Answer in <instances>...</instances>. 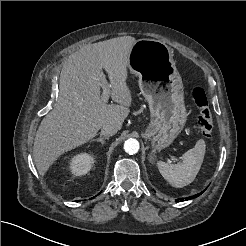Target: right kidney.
Listing matches in <instances>:
<instances>
[{"label":"right kidney","mask_w":246,"mask_h":246,"mask_svg":"<svg viewBox=\"0 0 246 246\" xmlns=\"http://www.w3.org/2000/svg\"><path fill=\"white\" fill-rule=\"evenodd\" d=\"M95 160L89 153H79L73 156L69 162V169L73 175L81 176L91 170Z\"/></svg>","instance_id":"1"}]
</instances>
